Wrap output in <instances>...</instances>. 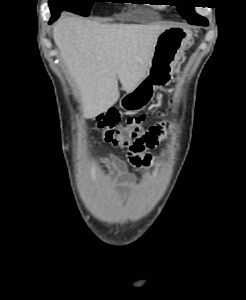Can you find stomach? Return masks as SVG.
<instances>
[{"instance_id": "stomach-1", "label": "stomach", "mask_w": 246, "mask_h": 300, "mask_svg": "<svg viewBox=\"0 0 246 300\" xmlns=\"http://www.w3.org/2000/svg\"><path fill=\"white\" fill-rule=\"evenodd\" d=\"M192 36L190 30L181 27H169L159 35L149 70L140 84L121 98L122 109L137 112L150 103L156 89L171 80L174 65Z\"/></svg>"}]
</instances>
